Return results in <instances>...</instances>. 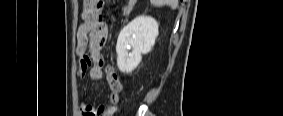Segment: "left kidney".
Wrapping results in <instances>:
<instances>
[{
  "label": "left kidney",
  "mask_w": 283,
  "mask_h": 116,
  "mask_svg": "<svg viewBox=\"0 0 283 116\" xmlns=\"http://www.w3.org/2000/svg\"><path fill=\"white\" fill-rule=\"evenodd\" d=\"M158 36V23L149 16H138L127 24L117 39V66L123 73L132 72L151 51ZM131 50V52H130Z\"/></svg>",
  "instance_id": "obj_1"
}]
</instances>
